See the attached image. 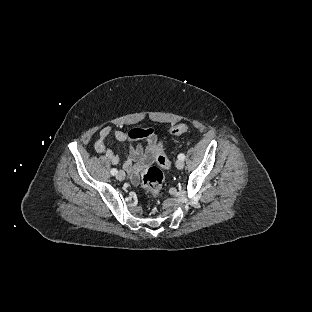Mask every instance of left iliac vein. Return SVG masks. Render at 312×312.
<instances>
[{"label":"left iliac vein","instance_id":"1","mask_svg":"<svg viewBox=\"0 0 312 312\" xmlns=\"http://www.w3.org/2000/svg\"><path fill=\"white\" fill-rule=\"evenodd\" d=\"M176 167H177V169H183V167H184V161L183 160H177L176 161Z\"/></svg>","mask_w":312,"mask_h":312}]
</instances>
